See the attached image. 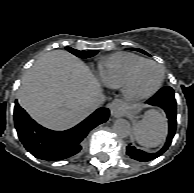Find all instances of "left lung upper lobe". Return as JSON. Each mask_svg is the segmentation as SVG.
<instances>
[{"label":"left lung upper lobe","instance_id":"5c2ea615","mask_svg":"<svg viewBox=\"0 0 194 193\" xmlns=\"http://www.w3.org/2000/svg\"><path fill=\"white\" fill-rule=\"evenodd\" d=\"M132 50H137V51H139V52H142V53H145V54H147L146 52H144L143 50H141V49H135V48H131Z\"/></svg>","mask_w":194,"mask_h":193}]
</instances>
